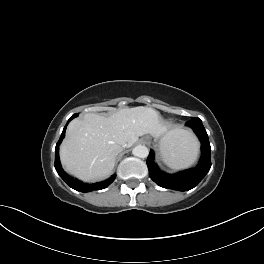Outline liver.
<instances>
[{"label":"liver","mask_w":264,"mask_h":264,"mask_svg":"<svg viewBox=\"0 0 264 264\" xmlns=\"http://www.w3.org/2000/svg\"><path fill=\"white\" fill-rule=\"evenodd\" d=\"M179 130L167 131L159 113L146 106L124 108L110 117L87 113L68 125L60 147L66 171L89 182L110 175L123 147H131L140 136L175 138Z\"/></svg>","instance_id":"obj_1"}]
</instances>
